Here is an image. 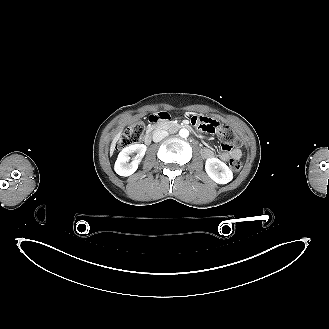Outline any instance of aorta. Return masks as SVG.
Returning <instances> with one entry per match:
<instances>
[{
	"instance_id": "762f6f07",
	"label": "aorta",
	"mask_w": 329,
	"mask_h": 329,
	"mask_svg": "<svg viewBox=\"0 0 329 329\" xmlns=\"http://www.w3.org/2000/svg\"><path fill=\"white\" fill-rule=\"evenodd\" d=\"M179 135L182 138H187L189 136V131L187 129L183 128L179 131Z\"/></svg>"
}]
</instances>
